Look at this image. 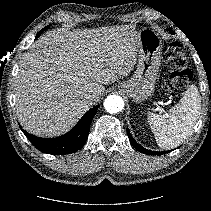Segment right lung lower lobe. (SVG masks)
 <instances>
[{
    "label": "right lung lower lobe",
    "mask_w": 211,
    "mask_h": 211,
    "mask_svg": "<svg viewBox=\"0 0 211 211\" xmlns=\"http://www.w3.org/2000/svg\"><path fill=\"white\" fill-rule=\"evenodd\" d=\"M98 108L99 105L90 109L73 129L60 137L40 138L25 131H23V133L29 139V141L43 153L57 155L70 154L78 151L85 144L89 134L91 122Z\"/></svg>",
    "instance_id": "obj_1"
}]
</instances>
